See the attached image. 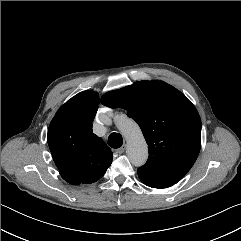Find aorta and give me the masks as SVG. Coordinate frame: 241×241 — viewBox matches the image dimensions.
<instances>
[{"label": "aorta", "mask_w": 241, "mask_h": 241, "mask_svg": "<svg viewBox=\"0 0 241 241\" xmlns=\"http://www.w3.org/2000/svg\"><path fill=\"white\" fill-rule=\"evenodd\" d=\"M118 129L127 140V155L134 166H142L148 158V147L138 124L130 118H118Z\"/></svg>", "instance_id": "1"}]
</instances>
